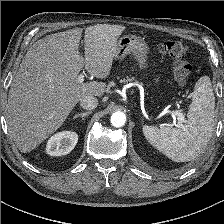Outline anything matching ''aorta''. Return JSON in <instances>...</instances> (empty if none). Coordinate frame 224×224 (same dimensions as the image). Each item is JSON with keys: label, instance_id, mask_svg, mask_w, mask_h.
<instances>
[{"label": "aorta", "instance_id": "obj_1", "mask_svg": "<svg viewBox=\"0 0 224 224\" xmlns=\"http://www.w3.org/2000/svg\"><path fill=\"white\" fill-rule=\"evenodd\" d=\"M126 122V115L121 111L114 112L111 116V124L114 127H122Z\"/></svg>", "mask_w": 224, "mask_h": 224}]
</instances>
